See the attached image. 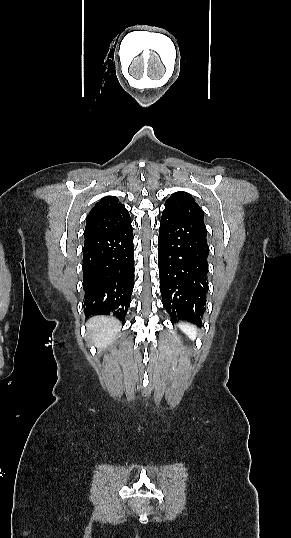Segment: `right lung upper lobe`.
<instances>
[{"label": "right lung upper lobe", "mask_w": 291, "mask_h": 538, "mask_svg": "<svg viewBox=\"0 0 291 538\" xmlns=\"http://www.w3.org/2000/svg\"><path fill=\"white\" fill-rule=\"evenodd\" d=\"M130 216L118 198L105 196L95 204L86 218L84 237H92L119 228L130 221Z\"/></svg>", "instance_id": "obj_1"}]
</instances>
